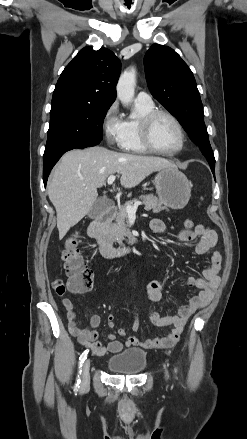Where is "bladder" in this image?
<instances>
[{"label":"bladder","instance_id":"1","mask_svg":"<svg viewBox=\"0 0 247 439\" xmlns=\"http://www.w3.org/2000/svg\"><path fill=\"white\" fill-rule=\"evenodd\" d=\"M109 371L117 374H140L147 365L146 351L141 348H129L111 356L107 360Z\"/></svg>","mask_w":247,"mask_h":439}]
</instances>
